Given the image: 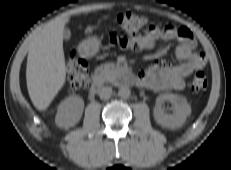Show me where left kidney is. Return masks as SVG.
Here are the masks:
<instances>
[{
	"label": "left kidney",
	"instance_id": "5707ae66",
	"mask_svg": "<svg viewBox=\"0 0 231 170\" xmlns=\"http://www.w3.org/2000/svg\"><path fill=\"white\" fill-rule=\"evenodd\" d=\"M165 101L170 102L174 108V114L168 115L163 110ZM191 114V106L185 97L176 94H162L157 97L154 108V118L156 122L166 128H177L184 124Z\"/></svg>",
	"mask_w": 231,
	"mask_h": 170
}]
</instances>
